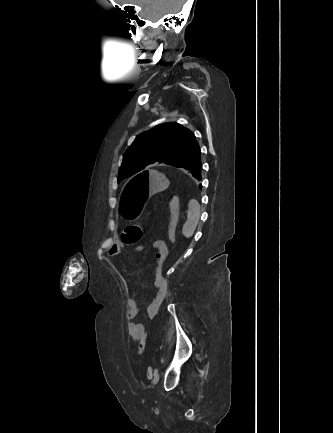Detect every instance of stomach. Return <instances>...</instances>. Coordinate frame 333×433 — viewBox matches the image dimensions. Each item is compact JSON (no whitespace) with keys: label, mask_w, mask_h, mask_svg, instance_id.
I'll return each mask as SVG.
<instances>
[{"label":"stomach","mask_w":333,"mask_h":433,"mask_svg":"<svg viewBox=\"0 0 333 433\" xmlns=\"http://www.w3.org/2000/svg\"><path fill=\"white\" fill-rule=\"evenodd\" d=\"M162 175V169H147V172L138 173L129 179L122 189L118 204L120 216L127 220L138 218L147 199L167 188L168 184Z\"/></svg>","instance_id":"obj_1"}]
</instances>
